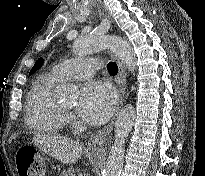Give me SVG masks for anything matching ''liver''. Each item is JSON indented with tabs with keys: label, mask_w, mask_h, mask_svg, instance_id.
<instances>
[{
	"label": "liver",
	"mask_w": 205,
	"mask_h": 176,
	"mask_svg": "<svg viewBox=\"0 0 205 176\" xmlns=\"http://www.w3.org/2000/svg\"><path fill=\"white\" fill-rule=\"evenodd\" d=\"M32 141L45 153L65 164L75 163L83 152L79 141L60 135L36 134Z\"/></svg>",
	"instance_id": "obj_1"
}]
</instances>
